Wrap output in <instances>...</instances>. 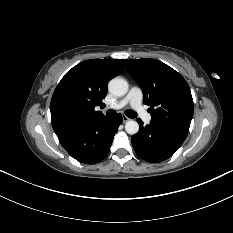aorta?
Masks as SVG:
<instances>
[{
	"label": "aorta",
	"mask_w": 233,
	"mask_h": 233,
	"mask_svg": "<svg viewBox=\"0 0 233 233\" xmlns=\"http://www.w3.org/2000/svg\"><path fill=\"white\" fill-rule=\"evenodd\" d=\"M128 89V82L120 77L113 78L108 83L109 92L115 96H124L128 92ZM125 131L130 135L137 134L139 131V124L134 120H130L125 125Z\"/></svg>",
	"instance_id": "762f6f07"
}]
</instances>
